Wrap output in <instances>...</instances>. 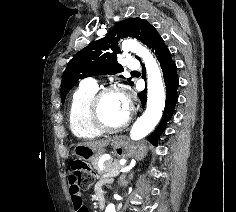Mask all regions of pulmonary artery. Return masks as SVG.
<instances>
[{
    "mask_svg": "<svg viewBox=\"0 0 236 212\" xmlns=\"http://www.w3.org/2000/svg\"><path fill=\"white\" fill-rule=\"evenodd\" d=\"M127 67L130 70H136V69L139 68V62L137 60H135V59L128 60ZM84 83L87 84V85L97 86L96 80L95 79H91V78L85 80Z\"/></svg>",
    "mask_w": 236,
    "mask_h": 212,
    "instance_id": "obj_1",
    "label": "pulmonary artery"
}]
</instances>
